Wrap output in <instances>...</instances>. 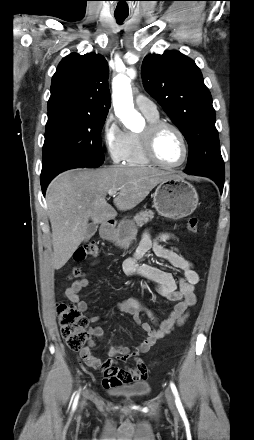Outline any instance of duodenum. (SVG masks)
Here are the masks:
<instances>
[{
    "label": "duodenum",
    "instance_id": "duodenum-1",
    "mask_svg": "<svg viewBox=\"0 0 254 440\" xmlns=\"http://www.w3.org/2000/svg\"><path fill=\"white\" fill-rule=\"evenodd\" d=\"M114 224H115V221L113 219L108 220L107 224L102 228V232L105 235H109L112 231Z\"/></svg>",
    "mask_w": 254,
    "mask_h": 440
}]
</instances>
